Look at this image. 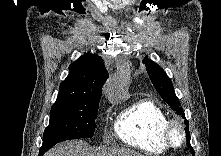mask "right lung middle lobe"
Returning a JSON list of instances; mask_svg holds the SVG:
<instances>
[{
	"label": "right lung middle lobe",
	"instance_id": "dd1d6c3e",
	"mask_svg": "<svg viewBox=\"0 0 221 156\" xmlns=\"http://www.w3.org/2000/svg\"><path fill=\"white\" fill-rule=\"evenodd\" d=\"M99 100L100 97H89L74 102H55L39 156L60 141L92 137Z\"/></svg>",
	"mask_w": 221,
	"mask_h": 156
}]
</instances>
